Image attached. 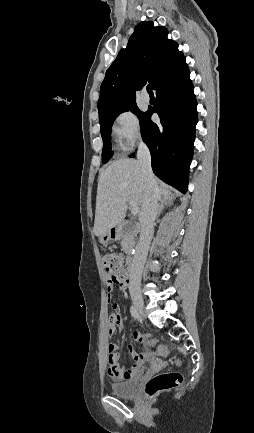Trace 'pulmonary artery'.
<instances>
[{
  "mask_svg": "<svg viewBox=\"0 0 254 433\" xmlns=\"http://www.w3.org/2000/svg\"><path fill=\"white\" fill-rule=\"evenodd\" d=\"M149 100H150L149 95L144 91V93H143V101L145 103H148Z\"/></svg>",
  "mask_w": 254,
  "mask_h": 433,
  "instance_id": "1",
  "label": "pulmonary artery"
}]
</instances>
